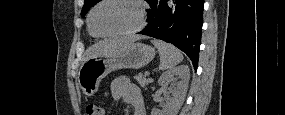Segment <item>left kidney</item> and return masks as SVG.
<instances>
[{
  "label": "left kidney",
  "mask_w": 285,
  "mask_h": 115,
  "mask_svg": "<svg viewBox=\"0 0 285 115\" xmlns=\"http://www.w3.org/2000/svg\"><path fill=\"white\" fill-rule=\"evenodd\" d=\"M174 76H178L181 80L175 84L176 87L172 91V98L168 100L162 113H159L158 110L153 108L151 115H177L179 109L183 105L190 79V70L188 66L181 65L164 72L160 76L158 84L160 86H166L168 80Z\"/></svg>",
  "instance_id": "obj_1"
}]
</instances>
